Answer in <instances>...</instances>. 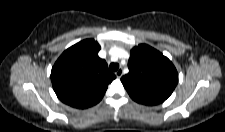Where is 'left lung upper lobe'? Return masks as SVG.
<instances>
[{
  "label": "left lung upper lobe",
  "instance_id": "5c2ea615",
  "mask_svg": "<svg viewBox=\"0 0 225 132\" xmlns=\"http://www.w3.org/2000/svg\"><path fill=\"white\" fill-rule=\"evenodd\" d=\"M129 73L121 78L130 97L142 104L164 102L178 83L172 62L156 49L140 44L131 50Z\"/></svg>",
  "mask_w": 225,
  "mask_h": 132
}]
</instances>
